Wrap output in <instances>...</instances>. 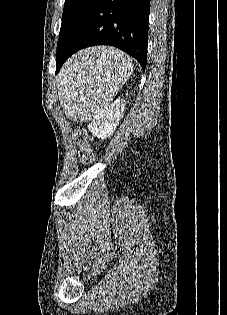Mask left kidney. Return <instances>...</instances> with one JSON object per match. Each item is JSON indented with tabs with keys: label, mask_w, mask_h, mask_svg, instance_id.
<instances>
[{
	"label": "left kidney",
	"mask_w": 227,
	"mask_h": 315,
	"mask_svg": "<svg viewBox=\"0 0 227 315\" xmlns=\"http://www.w3.org/2000/svg\"><path fill=\"white\" fill-rule=\"evenodd\" d=\"M125 109V102L117 99L104 109L88 125L89 131L104 140L115 131Z\"/></svg>",
	"instance_id": "5707ae66"
}]
</instances>
